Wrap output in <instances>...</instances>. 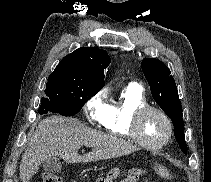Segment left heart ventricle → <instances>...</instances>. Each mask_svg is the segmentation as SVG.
<instances>
[{"instance_id": "b2bd125f", "label": "left heart ventricle", "mask_w": 211, "mask_h": 182, "mask_svg": "<svg viewBox=\"0 0 211 182\" xmlns=\"http://www.w3.org/2000/svg\"><path fill=\"white\" fill-rule=\"evenodd\" d=\"M139 130L141 138L149 144H158L167 135V125L156 112H148L141 118Z\"/></svg>"}]
</instances>
